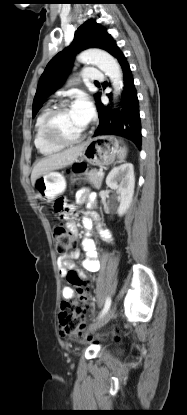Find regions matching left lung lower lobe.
<instances>
[{"label": "left lung lower lobe", "instance_id": "obj_1", "mask_svg": "<svg viewBox=\"0 0 187 415\" xmlns=\"http://www.w3.org/2000/svg\"><path fill=\"white\" fill-rule=\"evenodd\" d=\"M114 56L122 69L124 80V91L121 97L119 110L111 112L110 107H105L100 101H96L99 116V125L94 136L118 135L133 141L141 149V123L136 89L129 64L125 56L113 41L108 51ZM111 99V94H108Z\"/></svg>", "mask_w": 187, "mask_h": 415}]
</instances>
